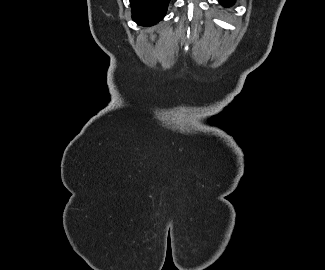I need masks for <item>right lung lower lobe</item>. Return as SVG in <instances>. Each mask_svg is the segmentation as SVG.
Masks as SVG:
<instances>
[{
    "instance_id": "obj_1",
    "label": "right lung lower lobe",
    "mask_w": 325,
    "mask_h": 270,
    "mask_svg": "<svg viewBox=\"0 0 325 270\" xmlns=\"http://www.w3.org/2000/svg\"><path fill=\"white\" fill-rule=\"evenodd\" d=\"M170 0H130L133 20L144 26L159 22L166 14Z\"/></svg>"
}]
</instances>
